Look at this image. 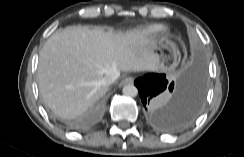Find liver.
I'll return each mask as SVG.
<instances>
[{"mask_svg":"<svg viewBox=\"0 0 244 157\" xmlns=\"http://www.w3.org/2000/svg\"><path fill=\"white\" fill-rule=\"evenodd\" d=\"M153 54L138 33L69 26L45 42L37 79L46 105L58 116H79L105 95L110 71H152Z\"/></svg>","mask_w":244,"mask_h":157,"instance_id":"6515ba94","label":"liver"}]
</instances>
